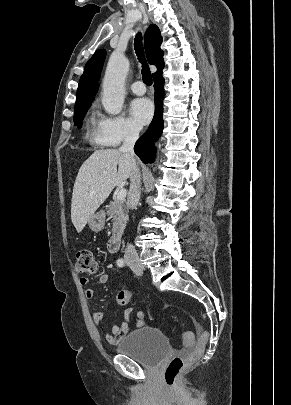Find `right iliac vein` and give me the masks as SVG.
Listing matches in <instances>:
<instances>
[{
  "label": "right iliac vein",
  "instance_id": "right-iliac-vein-1",
  "mask_svg": "<svg viewBox=\"0 0 291 405\" xmlns=\"http://www.w3.org/2000/svg\"><path fill=\"white\" fill-rule=\"evenodd\" d=\"M134 267H137V268H143V266L141 265V263L140 262H134L133 264H132Z\"/></svg>",
  "mask_w": 291,
  "mask_h": 405
}]
</instances>
